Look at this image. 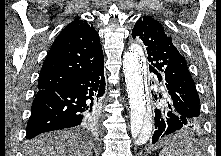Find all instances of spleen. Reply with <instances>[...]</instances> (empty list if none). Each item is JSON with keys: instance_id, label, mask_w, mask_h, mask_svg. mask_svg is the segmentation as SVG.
<instances>
[{"instance_id": "spleen-1", "label": "spleen", "mask_w": 221, "mask_h": 156, "mask_svg": "<svg viewBox=\"0 0 221 156\" xmlns=\"http://www.w3.org/2000/svg\"><path fill=\"white\" fill-rule=\"evenodd\" d=\"M200 151L189 143L174 137L172 143L162 149L159 156H200Z\"/></svg>"}]
</instances>
